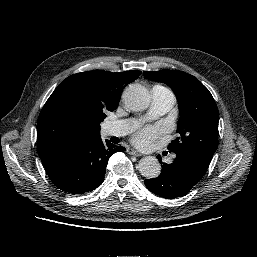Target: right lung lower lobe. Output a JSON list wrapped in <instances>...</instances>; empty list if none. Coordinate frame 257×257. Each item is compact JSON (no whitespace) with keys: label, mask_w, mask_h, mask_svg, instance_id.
Segmentation results:
<instances>
[{"label":"right lung lower lobe","mask_w":257,"mask_h":257,"mask_svg":"<svg viewBox=\"0 0 257 257\" xmlns=\"http://www.w3.org/2000/svg\"><path fill=\"white\" fill-rule=\"evenodd\" d=\"M125 151L101 137L69 142L40 156L51 181L61 190L83 194L97 188L104 181L109 158Z\"/></svg>","instance_id":"obj_1"}]
</instances>
